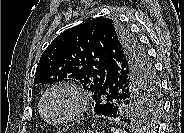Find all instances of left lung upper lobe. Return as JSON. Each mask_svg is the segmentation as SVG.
<instances>
[{"instance_id": "5c2ea615", "label": "left lung upper lobe", "mask_w": 184, "mask_h": 133, "mask_svg": "<svg viewBox=\"0 0 184 133\" xmlns=\"http://www.w3.org/2000/svg\"><path fill=\"white\" fill-rule=\"evenodd\" d=\"M115 58L126 72L128 86L118 118L133 125L151 122L160 111V89L153 64L116 19L88 20L57 36L41 55L34 84L74 78L94 95L105 82L106 64ZM143 81L150 83L152 94L143 90Z\"/></svg>"}]
</instances>
